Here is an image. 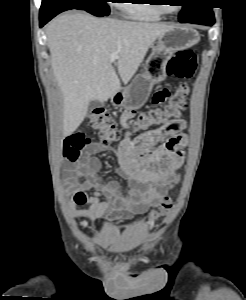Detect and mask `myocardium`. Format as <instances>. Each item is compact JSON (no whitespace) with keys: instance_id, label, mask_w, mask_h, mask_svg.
<instances>
[{"instance_id":"1","label":"myocardium","mask_w":246,"mask_h":300,"mask_svg":"<svg viewBox=\"0 0 246 300\" xmlns=\"http://www.w3.org/2000/svg\"><path fill=\"white\" fill-rule=\"evenodd\" d=\"M160 2V1H159ZM158 8L160 10V12L162 14H167V15H174V14H177L179 10L182 9V7L180 6H177V9L174 10V11H171L167 8V6H165L164 4H158Z\"/></svg>"}]
</instances>
